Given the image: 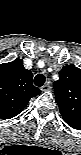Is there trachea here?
Returning <instances> with one entry per match:
<instances>
[{
    "label": "trachea",
    "mask_w": 81,
    "mask_h": 155,
    "mask_svg": "<svg viewBox=\"0 0 81 155\" xmlns=\"http://www.w3.org/2000/svg\"><path fill=\"white\" fill-rule=\"evenodd\" d=\"M45 83V76L43 74H38L34 78V84L38 87L43 86Z\"/></svg>",
    "instance_id": "trachea-1"
}]
</instances>
